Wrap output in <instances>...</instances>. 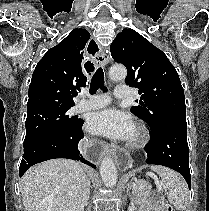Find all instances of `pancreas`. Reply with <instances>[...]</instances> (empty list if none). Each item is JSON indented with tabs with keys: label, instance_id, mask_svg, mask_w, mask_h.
<instances>
[{
	"label": "pancreas",
	"instance_id": "1",
	"mask_svg": "<svg viewBox=\"0 0 209 211\" xmlns=\"http://www.w3.org/2000/svg\"><path fill=\"white\" fill-rule=\"evenodd\" d=\"M151 184L144 180H138L134 184L132 190V199L136 204H141L144 202L151 193Z\"/></svg>",
	"mask_w": 209,
	"mask_h": 211
}]
</instances>
